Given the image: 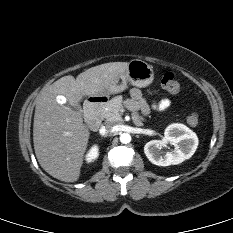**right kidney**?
Instances as JSON below:
<instances>
[{
	"label": "right kidney",
	"instance_id": "obj_1",
	"mask_svg": "<svg viewBox=\"0 0 233 233\" xmlns=\"http://www.w3.org/2000/svg\"><path fill=\"white\" fill-rule=\"evenodd\" d=\"M98 150L99 149H98L97 145H93L91 147V149L89 150V152L86 155V160L88 163L94 161L98 157V155H99Z\"/></svg>",
	"mask_w": 233,
	"mask_h": 233
}]
</instances>
